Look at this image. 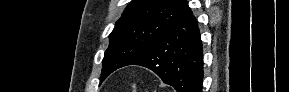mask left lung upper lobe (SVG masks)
<instances>
[{
    "mask_svg": "<svg viewBox=\"0 0 289 92\" xmlns=\"http://www.w3.org/2000/svg\"><path fill=\"white\" fill-rule=\"evenodd\" d=\"M187 9L186 0H132L109 35L101 81L142 53Z\"/></svg>",
    "mask_w": 289,
    "mask_h": 92,
    "instance_id": "1",
    "label": "left lung upper lobe"
}]
</instances>
